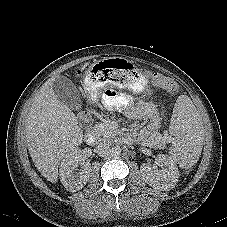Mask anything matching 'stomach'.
Listing matches in <instances>:
<instances>
[{"label":"stomach","mask_w":227,"mask_h":227,"mask_svg":"<svg viewBox=\"0 0 227 227\" xmlns=\"http://www.w3.org/2000/svg\"><path fill=\"white\" fill-rule=\"evenodd\" d=\"M84 78L91 97L96 96V87H105L111 82L137 93L142 92L147 83L145 71L126 56H103L91 61L84 71Z\"/></svg>","instance_id":"0dacf381"}]
</instances>
